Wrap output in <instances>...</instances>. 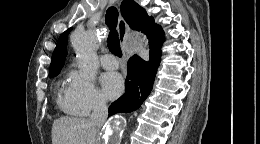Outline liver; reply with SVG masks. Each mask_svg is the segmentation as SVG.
<instances>
[{
	"instance_id": "6515ba94",
	"label": "liver",
	"mask_w": 260,
	"mask_h": 144,
	"mask_svg": "<svg viewBox=\"0 0 260 144\" xmlns=\"http://www.w3.org/2000/svg\"><path fill=\"white\" fill-rule=\"evenodd\" d=\"M97 130L89 119L62 117L52 126V144H95Z\"/></svg>"
}]
</instances>
